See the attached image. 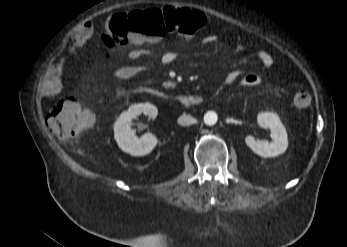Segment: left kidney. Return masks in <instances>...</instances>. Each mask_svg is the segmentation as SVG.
<instances>
[{
	"mask_svg": "<svg viewBox=\"0 0 347 247\" xmlns=\"http://www.w3.org/2000/svg\"><path fill=\"white\" fill-rule=\"evenodd\" d=\"M257 122L260 127L270 129L272 142L256 141L253 136L249 135L245 138L247 146L264 158L275 157L284 153L288 147V136L278 115L272 112L259 113Z\"/></svg>",
	"mask_w": 347,
	"mask_h": 247,
	"instance_id": "obj_1",
	"label": "left kidney"
}]
</instances>
